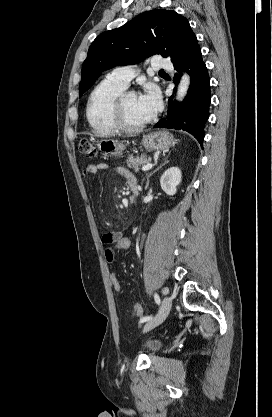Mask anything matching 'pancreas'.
<instances>
[{
	"label": "pancreas",
	"mask_w": 272,
	"mask_h": 417,
	"mask_svg": "<svg viewBox=\"0 0 272 417\" xmlns=\"http://www.w3.org/2000/svg\"><path fill=\"white\" fill-rule=\"evenodd\" d=\"M149 161H150V158H148L145 155H141L140 157L139 156H137V157L130 156L126 162H127V166L129 168H133L136 172H138L139 167L148 163Z\"/></svg>",
	"instance_id": "cf45deb5"
}]
</instances>
